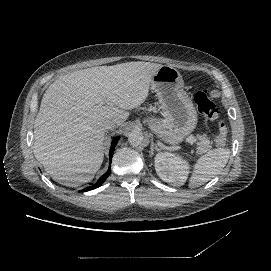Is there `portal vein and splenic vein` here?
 Instances as JSON below:
<instances>
[{
	"instance_id": "18ae733b",
	"label": "portal vein and splenic vein",
	"mask_w": 271,
	"mask_h": 271,
	"mask_svg": "<svg viewBox=\"0 0 271 271\" xmlns=\"http://www.w3.org/2000/svg\"><path fill=\"white\" fill-rule=\"evenodd\" d=\"M187 142H188V144H190V145H194V144H196L197 139H196V137H194V136H190V137L187 138Z\"/></svg>"
}]
</instances>
